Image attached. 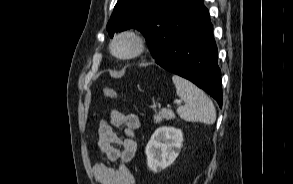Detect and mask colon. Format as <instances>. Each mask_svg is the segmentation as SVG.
Instances as JSON below:
<instances>
[{
  "instance_id": "colon-1",
  "label": "colon",
  "mask_w": 293,
  "mask_h": 184,
  "mask_svg": "<svg viewBox=\"0 0 293 184\" xmlns=\"http://www.w3.org/2000/svg\"><path fill=\"white\" fill-rule=\"evenodd\" d=\"M103 94L105 97L109 98V99H118V94L116 92L115 89L105 86L103 88Z\"/></svg>"
}]
</instances>
